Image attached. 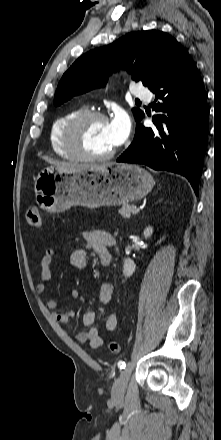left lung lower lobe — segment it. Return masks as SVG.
<instances>
[{"label": "left lung lower lobe", "instance_id": "0a47b994", "mask_svg": "<svg viewBox=\"0 0 221 440\" xmlns=\"http://www.w3.org/2000/svg\"><path fill=\"white\" fill-rule=\"evenodd\" d=\"M156 95L154 128L139 122L131 145L117 162L145 164L178 173L198 194L207 148V94L196 65L182 49L169 68L149 88Z\"/></svg>", "mask_w": 221, "mask_h": 440}]
</instances>
